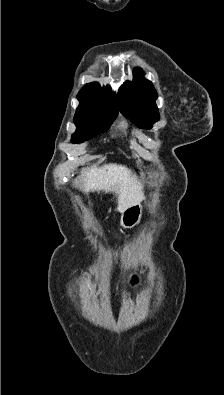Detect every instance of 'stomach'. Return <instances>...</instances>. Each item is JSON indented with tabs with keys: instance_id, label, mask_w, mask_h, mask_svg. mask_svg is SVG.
Here are the masks:
<instances>
[{
	"instance_id": "obj_1",
	"label": "stomach",
	"mask_w": 224,
	"mask_h": 395,
	"mask_svg": "<svg viewBox=\"0 0 224 395\" xmlns=\"http://www.w3.org/2000/svg\"><path fill=\"white\" fill-rule=\"evenodd\" d=\"M143 206L141 202L126 208L121 215L120 225L125 229H131L139 224L142 216Z\"/></svg>"
}]
</instances>
